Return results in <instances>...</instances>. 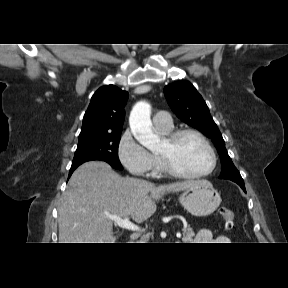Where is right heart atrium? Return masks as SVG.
<instances>
[{
    "instance_id": "1",
    "label": "right heart atrium",
    "mask_w": 288,
    "mask_h": 288,
    "mask_svg": "<svg viewBox=\"0 0 288 288\" xmlns=\"http://www.w3.org/2000/svg\"><path fill=\"white\" fill-rule=\"evenodd\" d=\"M118 157L121 164L133 175L154 177L158 174L155 156L143 147L129 130L119 139Z\"/></svg>"
}]
</instances>
